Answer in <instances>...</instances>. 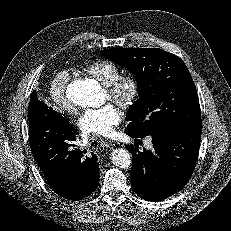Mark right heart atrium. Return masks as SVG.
<instances>
[{"mask_svg":"<svg viewBox=\"0 0 231 231\" xmlns=\"http://www.w3.org/2000/svg\"><path fill=\"white\" fill-rule=\"evenodd\" d=\"M69 78V73L67 71L56 73L50 83V95L52 100L62 111L72 113L73 107L66 97V88Z\"/></svg>","mask_w":231,"mask_h":231,"instance_id":"obj_1","label":"right heart atrium"}]
</instances>
